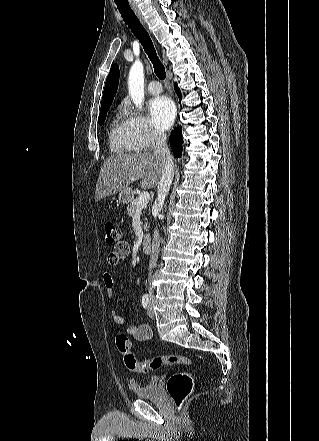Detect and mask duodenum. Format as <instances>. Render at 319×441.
Wrapping results in <instances>:
<instances>
[{"label": "duodenum", "instance_id": "1", "mask_svg": "<svg viewBox=\"0 0 319 441\" xmlns=\"http://www.w3.org/2000/svg\"><path fill=\"white\" fill-rule=\"evenodd\" d=\"M152 248L151 236L146 234L142 239V250L144 253H150Z\"/></svg>", "mask_w": 319, "mask_h": 441}]
</instances>
